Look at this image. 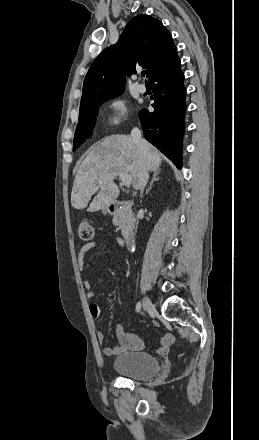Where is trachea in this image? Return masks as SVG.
I'll return each mask as SVG.
<instances>
[{
    "instance_id": "3493384b",
    "label": "trachea",
    "mask_w": 259,
    "mask_h": 440,
    "mask_svg": "<svg viewBox=\"0 0 259 440\" xmlns=\"http://www.w3.org/2000/svg\"><path fill=\"white\" fill-rule=\"evenodd\" d=\"M141 75H142V76H145V71H142V72H141Z\"/></svg>"
}]
</instances>
